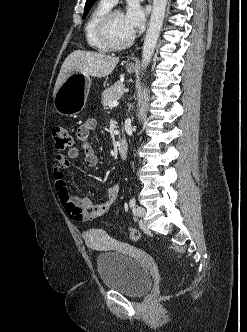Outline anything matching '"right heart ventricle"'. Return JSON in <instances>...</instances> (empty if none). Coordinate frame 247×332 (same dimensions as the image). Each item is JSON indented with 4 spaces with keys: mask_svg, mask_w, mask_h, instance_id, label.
Wrapping results in <instances>:
<instances>
[{
    "mask_svg": "<svg viewBox=\"0 0 247 332\" xmlns=\"http://www.w3.org/2000/svg\"><path fill=\"white\" fill-rule=\"evenodd\" d=\"M112 8L105 0H100L93 8L84 26L87 45L94 50L105 52L108 48L101 43L96 34V26L101 17Z\"/></svg>",
    "mask_w": 247,
    "mask_h": 332,
    "instance_id": "e07e8e85",
    "label": "right heart ventricle"
}]
</instances>
